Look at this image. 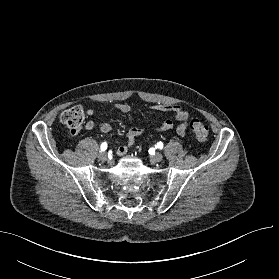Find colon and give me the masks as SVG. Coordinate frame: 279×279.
<instances>
[{"instance_id": "5ec220e1", "label": "colon", "mask_w": 279, "mask_h": 279, "mask_svg": "<svg viewBox=\"0 0 279 279\" xmlns=\"http://www.w3.org/2000/svg\"><path fill=\"white\" fill-rule=\"evenodd\" d=\"M60 120L72 134H76L80 131L84 123L85 114L81 107L74 106L62 112ZM191 129L195 137L199 141H205L207 139L209 134V128L202 121L193 120L191 123Z\"/></svg>"}]
</instances>
